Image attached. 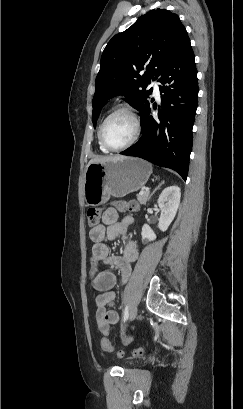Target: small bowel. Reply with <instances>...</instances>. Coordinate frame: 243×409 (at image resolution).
Returning <instances> with one entry per match:
<instances>
[{"label":"small bowel","instance_id":"obj_1","mask_svg":"<svg viewBox=\"0 0 243 409\" xmlns=\"http://www.w3.org/2000/svg\"><path fill=\"white\" fill-rule=\"evenodd\" d=\"M102 223L93 227L89 231L92 246V266L91 286L99 294L95 298L96 321L98 329L103 335H108L110 327L118 323L119 315L113 305L116 300L114 290L116 277L114 273L107 269H98L101 263L116 267L121 272L122 281L128 280L131 273V264L138 258V248L136 243L129 237V228L133 224V218L126 216L118 220V213L115 209L108 208L102 214ZM117 236L124 238L123 251L121 255L110 253L107 241L115 239Z\"/></svg>","mask_w":243,"mask_h":409}]
</instances>
